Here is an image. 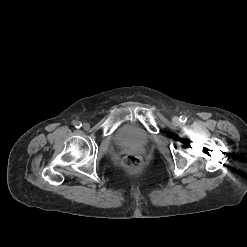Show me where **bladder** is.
Here are the masks:
<instances>
[{
	"label": "bladder",
	"mask_w": 247,
	"mask_h": 247,
	"mask_svg": "<svg viewBox=\"0 0 247 247\" xmlns=\"http://www.w3.org/2000/svg\"><path fill=\"white\" fill-rule=\"evenodd\" d=\"M116 142L122 146L142 147L149 141V135L134 124L127 123L116 133Z\"/></svg>",
	"instance_id": "1"
}]
</instances>
